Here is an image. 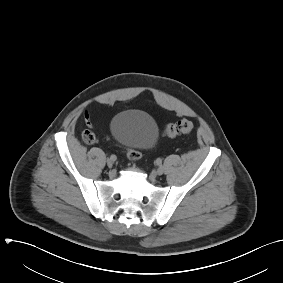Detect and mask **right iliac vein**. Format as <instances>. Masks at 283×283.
I'll list each match as a JSON object with an SVG mask.
<instances>
[{
    "label": "right iliac vein",
    "instance_id": "63e3f726",
    "mask_svg": "<svg viewBox=\"0 0 283 283\" xmlns=\"http://www.w3.org/2000/svg\"><path fill=\"white\" fill-rule=\"evenodd\" d=\"M107 166L111 168L113 166V161L111 159L107 160Z\"/></svg>",
    "mask_w": 283,
    "mask_h": 283
}]
</instances>
